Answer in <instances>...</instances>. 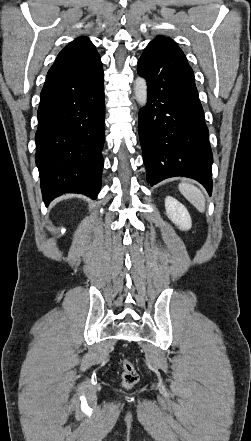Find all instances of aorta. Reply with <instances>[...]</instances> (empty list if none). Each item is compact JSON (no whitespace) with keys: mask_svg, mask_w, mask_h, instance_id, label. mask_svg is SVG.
<instances>
[{"mask_svg":"<svg viewBox=\"0 0 251 441\" xmlns=\"http://www.w3.org/2000/svg\"><path fill=\"white\" fill-rule=\"evenodd\" d=\"M135 99L141 106H145L147 103V83L142 77H137L134 82Z\"/></svg>","mask_w":251,"mask_h":441,"instance_id":"aorta-1","label":"aorta"}]
</instances>
